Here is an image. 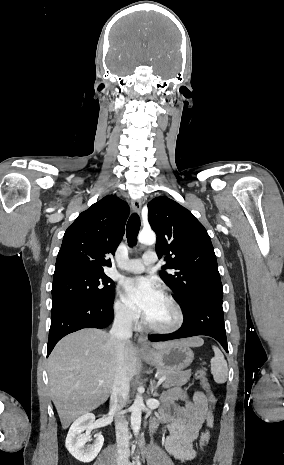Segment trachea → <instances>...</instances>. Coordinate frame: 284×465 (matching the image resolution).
<instances>
[{
	"instance_id": "trachea-1",
	"label": "trachea",
	"mask_w": 284,
	"mask_h": 465,
	"mask_svg": "<svg viewBox=\"0 0 284 465\" xmlns=\"http://www.w3.org/2000/svg\"><path fill=\"white\" fill-rule=\"evenodd\" d=\"M141 226L138 214L134 213L130 216L126 226V236L129 246L133 247L137 244V236Z\"/></svg>"
}]
</instances>
